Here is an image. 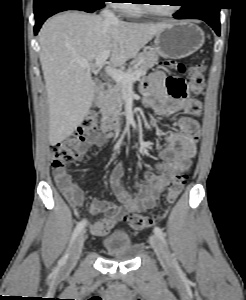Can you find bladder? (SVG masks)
Returning a JSON list of instances; mask_svg holds the SVG:
<instances>
[{"label": "bladder", "instance_id": "obj_1", "mask_svg": "<svg viewBox=\"0 0 246 300\" xmlns=\"http://www.w3.org/2000/svg\"><path fill=\"white\" fill-rule=\"evenodd\" d=\"M104 251L111 256L122 260H133L138 252L128 232L122 229L114 230L102 240Z\"/></svg>", "mask_w": 246, "mask_h": 300}]
</instances>
